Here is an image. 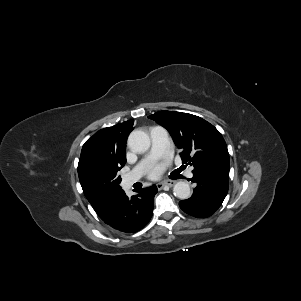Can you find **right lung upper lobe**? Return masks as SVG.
I'll return each instance as SVG.
<instances>
[{
	"instance_id": "right-lung-upper-lobe-1",
	"label": "right lung upper lobe",
	"mask_w": 301,
	"mask_h": 301,
	"mask_svg": "<svg viewBox=\"0 0 301 301\" xmlns=\"http://www.w3.org/2000/svg\"><path fill=\"white\" fill-rule=\"evenodd\" d=\"M133 123L134 120H128L96 132L83 145L78 167L86 160L94 158L126 163V141L133 130ZM112 205L106 207L92 206L96 213L103 217Z\"/></svg>"
}]
</instances>
